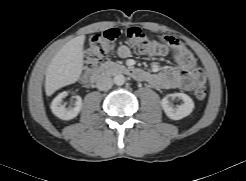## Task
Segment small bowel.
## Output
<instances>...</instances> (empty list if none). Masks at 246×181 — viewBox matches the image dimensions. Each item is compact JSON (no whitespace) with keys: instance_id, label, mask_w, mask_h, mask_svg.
<instances>
[{"instance_id":"obj_1","label":"small bowel","mask_w":246,"mask_h":181,"mask_svg":"<svg viewBox=\"0 0 246 181\" xmlns=\"http://www.w3.org/2000/svg\"><path fill=\"white\" fill-rule=\"evenodd\" d=\"M178 44V51L172 50L177 66L165 68L157 73L144 71L143 81L159 89L180 88L184 90H191L205 83V75L197 67L194 56L179 41ZM117 53L119 57L127 59L132 56V49L128 45H121Z\"/></svg>"}]
</instances>
